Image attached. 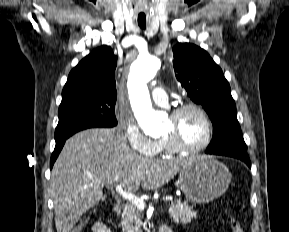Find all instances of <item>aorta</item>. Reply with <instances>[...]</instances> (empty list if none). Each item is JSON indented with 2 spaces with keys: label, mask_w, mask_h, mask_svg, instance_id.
I'll return each mask as SVG.
<instances>
[{
  "label": "aorta",
  "mask_w": 289,
  "mask_h": 232,
  "mask_svg": "<svg viewBox=\"0 0 289 232\" xmlns=\"http://www.w3.org/2000/svg\"><path fill=\"white\" fill-rule=\"evenodd\" d=\"M160 61L154 56H139L132 64L128 89L134 115L145 134L159 135L163 128L162 115L153 110L147 82L153 79L160 68Z\"/></svg>",
  "instance_id": "obj_1"
}]
</instances>
